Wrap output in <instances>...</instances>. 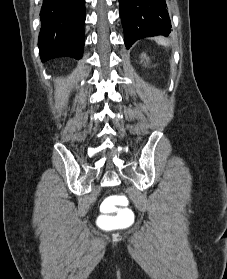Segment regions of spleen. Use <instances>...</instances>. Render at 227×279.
I'll return each instance as SVG.
<instances>
[{"label": "spleen", "instance_id": "3e777b00", "mask_svg": "<svg viewBox=\"0 0 227 279\" xmlns=\"http://www.w3.org/2000/svg\"><path fill=\"white\" fill-rule=\"evenodd\" d=\"M156 42H157L158 44H161V45H164V46L169 45V42H168L166 39L162 38V37H158V38L156 39Z\"/></svg>", "mask_w": 227, "mask_h": 279}]
</instances>
